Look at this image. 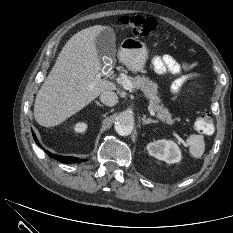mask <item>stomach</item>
Segmentation results:
<instances>
[{"instance_id": "1", "label": "stomach", "mask_w": 233, "mask_h": 233, "mask_svg": "<svg viewBox=\"0 0 233 233\" xmlns=\"http://www.w3.org/2000/svg\"><path fill=\"white\" fill-rule=\"evenodd\" d=\"M119 58L133 72L141 71L148 58L145 43L136 38H126L122 41Z\"/></svg>"}]
</instances>
